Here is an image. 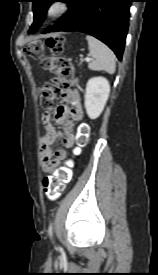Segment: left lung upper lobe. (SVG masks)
Wrapping results in <instances>:
<instances>
[{
	"label": "left lung upper lobe",
	"instance_id": "5c2ea615",
	"mask_svg": "<svg viewBox=\"0 0 158 275\" xmlns=\"http://www.w3.org/2000/svg\"><path fill=\"white\" fill-rule=\"evenodd\" d=\"M33 2V12H34V22L30 27L29 32H35L36 29L41 25L43 22L48 7L51 3L55 2L54 0H32ZM66 2V0L64 1Z\"/></svg>",
	"mask_w": 158,
	"mask_h": 275
}]
</instances>
